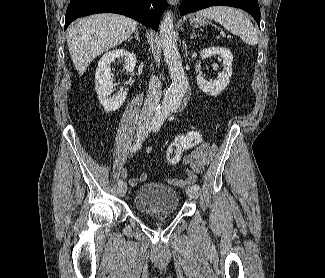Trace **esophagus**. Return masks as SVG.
<instances>
[{
  "mask_svg": "<svg viewBox=\"0 0 325 278\" xmlns=\"http://www.w3.org/2000/svg\"><path fill=\"white\" fill-rule=\"evenodd\" d=\"M179 0H168V3L172 6H176Z\"/></svg>",
  "mask_w": 325,
  "mask_h": 278,
  "instance_id": "esophagus-1",
  "label": "esophagus"
}]
</instances>
